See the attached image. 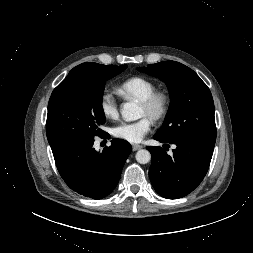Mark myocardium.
<instances>
[{
  "instance_id": "obj_1",
  "label": "myocardium",
  "mask_w": 253,
  "mask_h": 253,
  "mask_svg": "<svg viewBox=\"0 0 253 253\" xmlns=\"http://www.w3.org/2000/svg\"><path fill=\"white\" fill-rule=\"evenodd\" d=\"M149 112V117L155 121L164 119L170 108V95L165 90H155L140 101Z\"/></svg>"
}]
</instances>
